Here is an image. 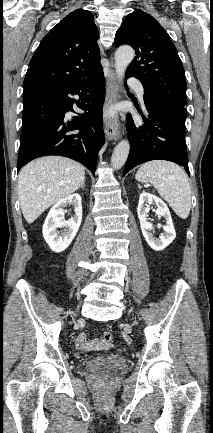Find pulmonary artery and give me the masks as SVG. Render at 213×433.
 Returning a JSON list of instances; mask_svg holds the SVG:
<instances>
[{
    "mask_svg": "<svg viewBox=\"0 0 213 433\" xmlns=\"http://www.w3.org/2000/svg\"><path fill=\"white\" fill-rule=\"evenodd\" d=\"M128 84L136 90L139 98L143 99V96H144V87L141 84V82L139 80L135 79V78H130L128 80Z\"/></svg>",
    "mask_w": 213,
    "mask_h": 433,
    "instance_id": "1",
    "label": "pulmonary artery"
}]
</instances>
